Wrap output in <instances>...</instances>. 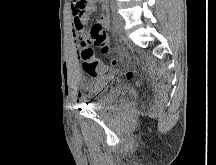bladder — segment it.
<instances>
[{
	"label": "bladder",
	"mask_w": 216,
	"mask_h": 165,
	"mask_svg": "<svg viewBox=\"0 0 216 165\" xmlns=\"http://www.w3.org/2000/svg\"><path fill=\"white\" fill-rule=\"evenodd\" d=\"M121 76L103 74L96 76L92 81V93L94 94L90 106L95 110H107L119 95Z\"/></svg>",
	"instance_id": "obj_1"
}]
</instances>
